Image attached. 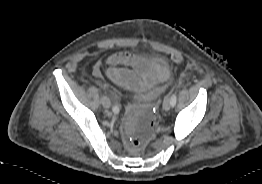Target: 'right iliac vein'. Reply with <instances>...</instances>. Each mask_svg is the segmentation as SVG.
<instances>
[{
  "mask_svg": "<svg viewBox=\"0 0 262 184\" xmlns=\"http://www.w3.org/2000/svg\"><path fill=\"white\" fill-rule=\"evenodd\" d=\"M101 103H102V105H103L104 108H109V107L111 106V101H110V99H109L108 97H106V96H103V97L101 98Z\"/></svg>",
  "mask_w": 262,
  "mask_h": 184,
  "instance_id": "obj_1",
  "label": "right iliac vein"
}]
</instances>
